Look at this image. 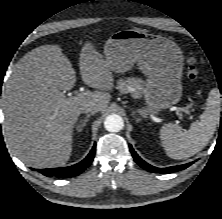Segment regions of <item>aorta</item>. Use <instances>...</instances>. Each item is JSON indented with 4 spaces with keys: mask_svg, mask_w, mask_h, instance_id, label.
Returning a JSON list of instances; mask_svg holds the SVG:
<instances>
[{
    "mask_svg": "<svg viewBox=\"0 0 222 219\" xmlns=\"http://www.w3.org/2000/svg\"><path fill=\"white\" fill-rule=\"evenodd\" d=\"M124 126V121L120 115L110 114L104 121V127L109 132H119Z\"/></svg>",
    "mask_w": 222,
    "mask_h": 219,
    "instance_id": "obj_1",
    "label": "aorta"
}]
</instances>
